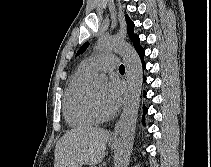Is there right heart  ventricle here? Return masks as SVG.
Returning <instances> with one entry per match:
<instances>
[{
    "label": "right heart ventricle",
    "instance_id": "e07e8e85",
    "mask_svg": "<svg viewBox=\"0 0 211 167\" xmlns=\"http://www.w3.org/2000/svg\"><path fill=\"white\" fill-rule=\"evenodd\" d=\"M93 73L80 66L71 77L64 95L63 111L66 121L73 127H90L96 123L86 105V83Z\"/></svg>",
    "mask_w": 211,
    "mask_h": 167
}]
</instances>
